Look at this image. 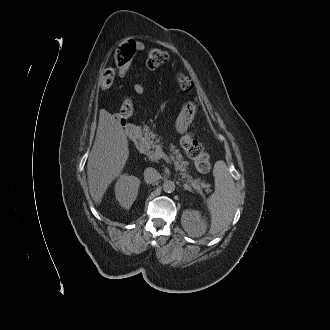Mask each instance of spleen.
<instances>
[{"mask_svg":"<svg viewBox=\"0 0 330 330\" xmlns=\"http://www.w3.org/2000/svg\"><path fill=\"white\" fill-rule=\"evenodd\" d=\"M215 191L206 200L211 216L210 234H217L231 222L237 209V191L226 163L219 160L213 169Z\"/></svg>","mask_w":330,"mask_h":330,"instance_id":"3e777b00","label":"spleen"}]
</instances>
